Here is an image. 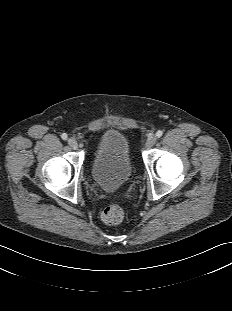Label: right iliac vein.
<instances>
[{
  "label": "right iliac vein",
  "mask_w": 232,
  "mask_h": 311,
  "mask_svg": "<svg viewBox=\"0 0 232 311\" xmlns=\"http://www.w3.org/2000/svg\"><path fill=\"white\" fill-rule=\"evenodd\" d=\"M68 144H69V146H70L72 149H77V148H78L77 141H76V139H74V138H69V139H68Z\"/></svg>",
  "instance_id": "63e3f726"
}]
</instances>
